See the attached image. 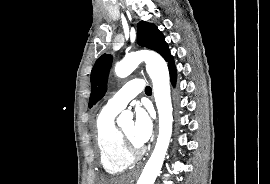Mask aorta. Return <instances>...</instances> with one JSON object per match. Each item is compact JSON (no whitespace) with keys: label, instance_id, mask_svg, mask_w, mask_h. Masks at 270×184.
<instances>
[{"label":"aorta","instance_id":"762f6f07","mask_svg":"<svg viewBox=\"0 0 270 184\" xmlns=\"http://www.w3.org/2000/svg\"><path fill=\"white\" fill-rule=\"evenodd\" d=\"M152 79L155 102L159 115V134L154 151L147 161L137 184H154L162 168L172 135V103L170 95L169 71L165 60L152 51L130 53L115 66V73L120 78L129 76L142 62ZM133 114L124 111L118 118L121 124L132 119Z\"/></svg>","mask_w":270,"mask_h":184}]
</instances>
